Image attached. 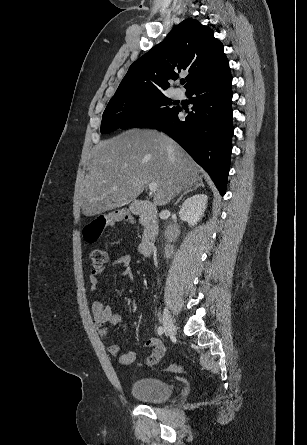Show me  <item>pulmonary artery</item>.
Wrapping results in <instances>:
<instances>
[{"label":"pulmonary artery","mask_w":307,"mask_h":445,"mask_svg":"<svg viewBox=\"0 0 307 445\" xmlns=\"http://www.w3.org/2000/svg\"><path fill=\"white\" fill-rule=\"evenodd\" d=\"M172 94L175 97H179L181 95V91L178 88H174L173 91H172Z\"/></svg>","instance_id":"e3ab8cb5"}]
</instances>
